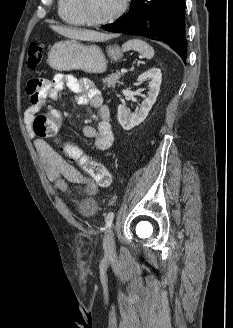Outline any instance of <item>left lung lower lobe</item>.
<instances>
[{"instance_id":"1","label":"left lung lower lobe","mask_w":233,"mask_h":328,"mask_svg":"<svg viewBox=\"0 0 233 328\" xmlns=\"http://www.w3.org/2000/svg\"><path fill=\"white\" fill-rule=\"evenodd\" d=\"M185 0H132L126 16L102 26L109 32L130 33L168 44L186 59Z\"/></svg>"}]
</instances>
